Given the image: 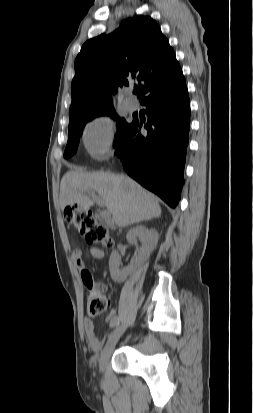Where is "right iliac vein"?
Instances as JSON below:
<instances>
[{
    "label": "right iliac vein",
    "mask_w": 253,
    "mask_h": 413,
    "mask_svg": "<svg viewBox=\"0 0 253 413\" xmlns=\"http://www.w3.org/2000/svg\"><path fill=\"white\" fill-rule=\"evenodd\" d=\"M124 331H125V326H117L114 329V331L110 334L109 339L101 353L100 360H99V367L101 371H103L104 368L106 367L109 361V358L115 348V345L120 339V337L122 336V334L124 333Z\"/></svg>",
    "instance_id": "63e3f726"
}]
</instances>
